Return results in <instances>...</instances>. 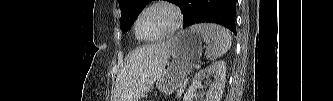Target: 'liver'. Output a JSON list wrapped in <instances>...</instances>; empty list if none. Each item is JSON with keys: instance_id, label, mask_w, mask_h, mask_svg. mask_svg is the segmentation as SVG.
<instances>
[{"instance_id": "6515ba94", "label": "liver", "mask_w": 333, "mask_h": 101, "mask_svg": "<svg viewBox=\"0 0 333 101\" xmlns=\"http://www.w3.org/2000/svg\"><path fill=\"white\" fill-rule=\"evenodd\" d=\"M167 41L137 48L117 76L114 101H138L161 75L168 54Z\"/></svg>"}]
</instances>
